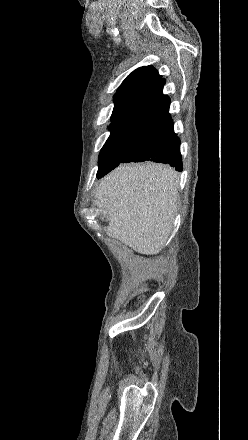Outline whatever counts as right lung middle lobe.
Segmentation results:
<instances>
[{
    "mask_svg": "<svg viewBox=\"0 0 248 440\" xmlns=\"http://www.w3.org/2000/svg\"><path fill=\"white\" fill-rule=\"evenodd\" d=\"M132 132L123 131L108 138L99 154L97 178L103 177L121 163L128 137Z\"/></svg>",
    "mask_w": 248,
    "mask_h": 440,
    "instance_id": "dd1d6c3e",
    "label": "right lung middle lobe"
}]
</instances>
